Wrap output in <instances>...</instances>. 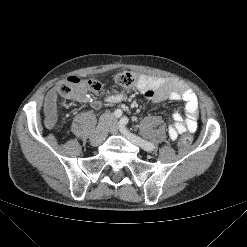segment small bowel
Masks as SVG:
<instances>
[{
    "label": "small bowel",
    "mask_w": 247,
    "mask_h": 247,
    "mask_svg": "<svg viewBox=\"0 0 247 247\" xmlns=\"http://www.w3.org/2000/svg\"><path fill=\"white\" fill-rule=\"evenodd\" d=\"M146 99L152 103H160L165 100L184 101L185 115L181 110H177L172 114L169 125V137L176 140L177 137L186 132H195L197 129V119L199 116V105L196 94L188 88L184 83L173 79L154 77H143L136 85ZM79 102L89 103L93 108L102 107L101 101H93L88 96L82 95L76 98ZM123 99L122 92H112L105 97V102L115 104ZM57 92L51 90L45 100L44 114L45 124L48 128H52L57 123Z\"/></svg>",
    "instance_id": "c3829d8e"
}]
</instances>
